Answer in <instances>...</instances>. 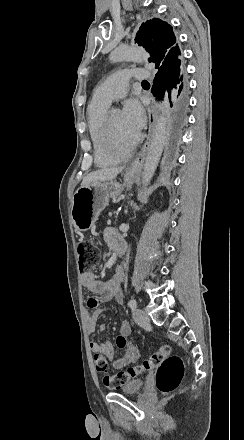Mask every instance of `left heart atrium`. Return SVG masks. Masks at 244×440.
<instances>
[{
  "mask_svg": "<svg viewBox=\"0 0 244 440\" xmlns=\"http://www.w3.org/2000/svg\"><path fill=\"white\" fill-rule=\"evenodd\" d=\"M122 115L125 126L132 135H136L145 125L144 107L138 99L128 100L124 105Z\"/></svg>",
  "mask_w": 244,
  "mask_h": 440,
  "instance_id": "left-heart-atrium-1",
  "label": "left heart atrium"
}]
</instances>
